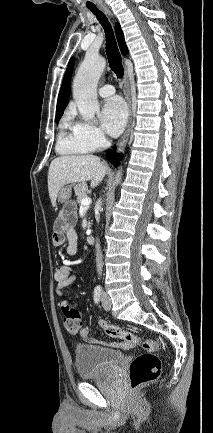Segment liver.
Listing matches in <instances>:
<instances>
[{
  "label": "liver",
  "instance_id": "liver-1",
  "mask_svg": "<svg viewBox=\"0 0 213 433\" xmlns=\"http://www.w3.org/2000/svg\"><path fill=\"white\" fill-rule=\"evenodd\" d=\"M107 168L95 155H66L55 158L48 171V191L52 205L59 190L70 183L91 181L95 188L105 177Z\"/></svg>",
  "mask_w": 213,
  "mask_h": 433
}]
</instances>
